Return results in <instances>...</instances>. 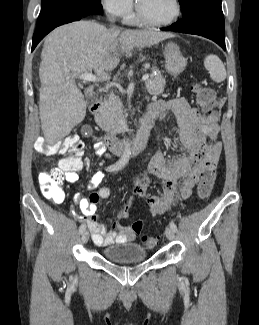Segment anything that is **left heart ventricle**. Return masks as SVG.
<instances>
[{
    "label": "left heart ventricle",
    "mask_w": 259,
    "mask_h": 325,
    "mask_svg": "<svg viewBox=\"0 0 259 325\" xmlns=\"http://www.w3.org/2000/svg\"><path fill=\"white\" fill-rule=\"evenodd\" d=\"M143 13L153 20H165L173 13L172 0H139Z\"/></svg>",
    "instance_id": "1"
}]
</instances>
